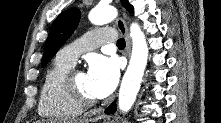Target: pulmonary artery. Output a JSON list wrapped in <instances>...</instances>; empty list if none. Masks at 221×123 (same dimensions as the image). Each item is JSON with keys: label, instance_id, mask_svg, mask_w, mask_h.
Segmentation results:
<instances>
[{"label": "pulmonary artery", "instance_id": "e3ab8cb5", "mask_svg": "<svg viewBox=\"0 0 221 123\" xmlns=\"http://www.w3.org/2000/svg\"><path fill=\"white\" fill-rule=\"evenodd\" d=\"M115 32L110 28L94 29L87 32L82 38L64 47L58 53V57L74 65L77 58L83 52L111 43L115 40Z\"/></svg>", "mask_w": 221, "mask_h": 123}]
</instances>
